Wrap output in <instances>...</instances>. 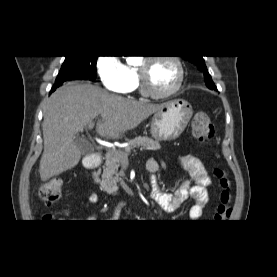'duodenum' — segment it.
Wrapping results in <instances>:
<instances>
[{"label": "duodenum", "mask_w": 277, "mask_h": 277, "mask_svg": "<svg viewBox=\"0 0 277 277\" xmlns=\"http://www.w3.org/2000/svg\"><path fill=\"white\" fill-rule=\"evenodd\" d=\"M102 156L98 152H94L85 158L84 166L87 170H94L100 167Z\"/></svg>", "instance_id": "410a0bca"}]
</instances>
